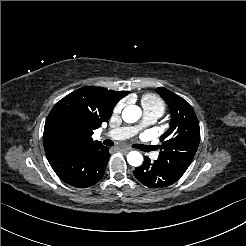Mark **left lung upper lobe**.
<instances>
[{"label":"left lung upper lobe","mask_w":246,"mask_h":246,"mask_svg":"<svg viewBox=\"0 0 246 246\" xmlns=\"http://www.w3.org/2000/svg\"><path fill=\"white\" fill-rule=\"evenodd\" d=\"M156 92L169 105L170 128L160 140L162 142L158 162L181 177L197 151L200 142L198 119L191 105L180 96L159 87Z\"/></svg>","instance_id":"obj_1"}]
</instances>
